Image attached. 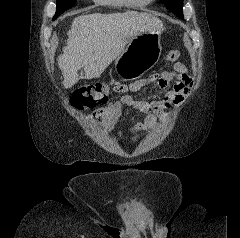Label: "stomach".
<instances>
[{"label": "stomach", "mask_w": 240, "mask_h": 238, "mask_svg": "<svg viewBox=\"0 0 240 238\" xmlns=\"http://www.w3.org/2000/svg\"><path fill=\"white\" fill-rule=\"evenodd\" d=\"M161 51V32L141 33L117 57L115 70L123 79H137L158 62Z\"/></svg>", "instance_id": "stomach-1"}]
</instances>
